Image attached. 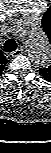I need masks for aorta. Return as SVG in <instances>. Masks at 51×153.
<instances>
[{"instance_id":"obj_1","label":"aorta","mask_w":51,"mask_h":153,"mask_svg":"<svg viewBox=\"0 0 51 153\" xmlns=\"http://www.w3.org/2000/svg\"><path fill=\"white\" fill-rule=\"evenodd\" d=\"M16 36L27 49L32 61L46 67L50 63L51 51L46 34L41 28L22 22L16 29Z\"/></svg>"}]
</instances>
